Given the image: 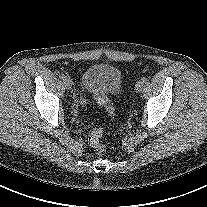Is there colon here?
Returning a JSON list of instances; mask_svg holds the SVG:
<instances>
[{
  "mask_svg": "<svg viewBox=\"0 0 207 207\" xmlns=\"http://www.w3.org/2000/svg\"><path fill=\"white\" fill-rule=\"evenodd\" d=\"M98 104L104 107L111 116L115 115L113 103L110 99L105 96L98 97ZM103 131L100 128H94L90 131L88 136V143L91 148L96 152L102 153L105 151L106 146L102 142Z\"/></svg>",
  "mask_w": 207,
  "mask_h": 207,
  "instance_id": "1",
  "label": "colon"
}]
</instances>
